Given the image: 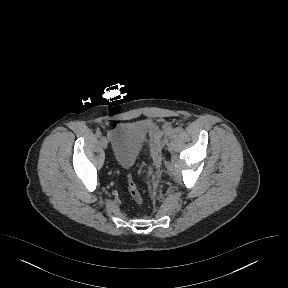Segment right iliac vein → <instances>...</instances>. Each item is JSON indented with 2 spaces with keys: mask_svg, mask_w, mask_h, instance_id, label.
Listing matches in <instances>:
<instances>
[{
  "mask_svg": "<svg viewBox=\"0 0 288 288\" xmlns=\"http://www.w3.org/2000/svg\"><path fill=\"white\" fill-rule=\"evenodd\" d=\"M100 142H101V145L103 148H107L108 142H107V139L105 137H102Z\"/></svg>",
  "mask_w": 288,
  "mask_h": 288,
  "instance_id": "63e3f726",
  "label": "right iliac vein"
}]
</instances>
